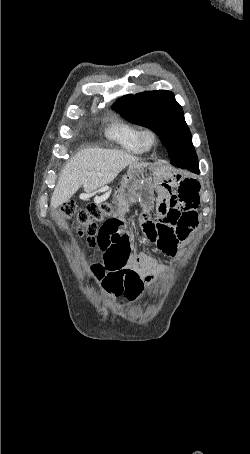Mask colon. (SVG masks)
<instances>
[{"mask_svg":"<svg viewBox=\"0 0 250 454\" xmlns=\"http://www.w3.org/2000/svg\"><path fill=\"white\" fill-rule=\"evenodd\" d=\"M60 212L66 217H70L74 213L77 214L79 222L78 234L86 239L90 247H94L97 243L96 236L100 229L98 224H103L117 217L114 205L108 202L101 204L91 203L80 209H76L74 204L67 202L61 206Z\"/></svg>","mask_w":250,"mask_h":454,"instance_id":"5ec220e1","label":"colon"}]
</instances>
